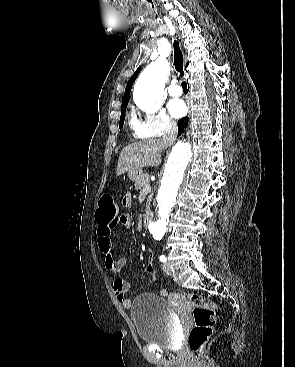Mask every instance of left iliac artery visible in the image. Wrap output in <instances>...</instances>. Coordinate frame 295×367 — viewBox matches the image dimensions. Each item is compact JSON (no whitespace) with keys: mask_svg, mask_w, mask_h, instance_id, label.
I'll return each instance as SVG.
<instances>
[{"mask_svg":"<svg viewBox=\"0 0 295 367\" xmlns=\"http://www.w3.org/2000/svg\"><path fill=\"white\" fill-rule=\"evenodd\" d=\"M159 260H160L161 262H166L167 258H166V256L161 255V256L159 257Z\"/></svg>","mask_w":295,"mask_h":367,"instance_id":"44dca946","label":"left iliac artery"}]
</instances>
